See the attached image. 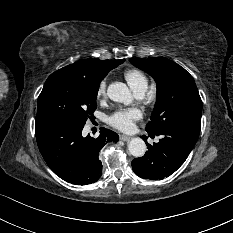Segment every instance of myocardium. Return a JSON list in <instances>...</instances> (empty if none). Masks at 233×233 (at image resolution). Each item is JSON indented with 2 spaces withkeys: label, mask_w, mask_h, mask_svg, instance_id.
Listing matches in <instances>:
<instances>
[{
  "label": "myocardium",
  "mask_w": 233,
  "mask_h": 233,
  "mask_svg": "<svg viewBox=\"0 0 233 233\" xmlns=\"http://www.w3.org/2000/svg\"><path fill=\"white\" fill-rule=\"evenodd\" d=\"M146 98H147V99H150V98H151V94H147V95H146Z\"/></svg>",
  "instance_id": "f54148a6"
}]
</instances>
